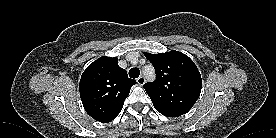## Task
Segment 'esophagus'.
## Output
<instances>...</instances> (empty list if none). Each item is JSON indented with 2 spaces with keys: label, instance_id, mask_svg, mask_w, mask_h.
Wrapping results in <instances>:
<instances>
[{
  "label": "esophagus",
  "instance_id": "esophagus-1",
  "mask_svg": "<svg viewBox=\"0 0 276 138\" xmlns=\"http://www.w3.org/2000/svg\"><path fill=\"white\" fill-rule=\"evenodd\" d=\"M137 83L139 84V85H143L144 83H145V77L144 76H140V77H138L137 78Z\"/></svg>",
  "mask_w": 276,
  "mask_h": 138
}]
</instances>
